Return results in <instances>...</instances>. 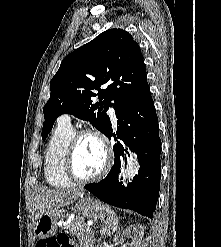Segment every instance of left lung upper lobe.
I'll return each mask as SVG.
<instances>
[{
  "label": "left lung upper lobe",
  "instance_id": "5c2ea615",
  "mask_svg": "<svg viewBox=\"0 0 221 247\" xmlns=\"http://www.w3.org/2000/svg\"><path fill=\"white\" fill-rule=\"evenodd\" d=\"M50 89L43 108V140L64 113L88 120L105 135L111 125L109 107L116 110L151 96L140 47L123 29H109L66 56Z\"/></svg>",
  "mask_w": 221,
  "mask_h": 247
}]
</instances>
